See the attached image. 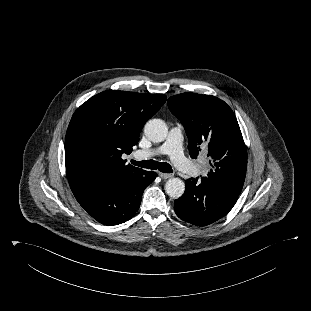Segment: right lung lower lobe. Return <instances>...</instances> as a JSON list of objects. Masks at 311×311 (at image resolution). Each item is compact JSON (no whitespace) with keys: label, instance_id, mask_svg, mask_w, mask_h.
Wrapping results in <instances>:
<instances>
[{"label":"right lung lower lobe","instance_id":"1","mask_svg":"<svg viewBox=\"0 0 311 311\" xmlns=\"http://www.w3.org/2000/svg\"><path fill=\"white\" fill-rule=\"evenodd\" d=\"M157 174L145 171L127 179L103 175L69 182L84 210L104 225H117L132 218L138 211L144 189Z\"/></svg>","mask_w":311,"mask_h":311}]
</instances>
